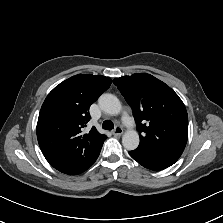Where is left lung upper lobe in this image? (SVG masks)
Wrapping results in <instances>:
<instances>
[{
    "label": "left lung upper lobe",
    "mask_w": 223,
    "mask_h": 223,
    "mask_svg": "<svg viewBox=\"0 0 223 223\" xmlns=\"http://www.w3.org/2000/svg\"><path fill=\"white\" fill-rule=\"evenodd\" d=\"M133 111L140 144L133 150L176 162L188 138V116L179 96L164 82L146 73L113 80Z\"/></svg>",
    "instance_id": "left-lung-upper-lobe-1"
}]
</instances>
